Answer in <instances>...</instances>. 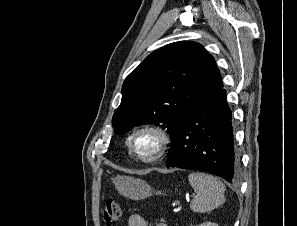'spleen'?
Here are the masks:
<instances>
[{
  "label": "spleen",
  "mask_w": 297,
  "mask_h": 226,
  "mask_svg": "<svg viewBox=\"0 0 297 226\" xmlns=\"http://www.w3.org/2000/svg\"><path fill=\"white\" fill-rule=\"evenodd\" d=\"M188 180L197 193V197L190 203L194 212H209L225 202V186L217 177L193 172L188 175Z\"/></svg>",
  "instance_id": "1"
}]
</instances>
